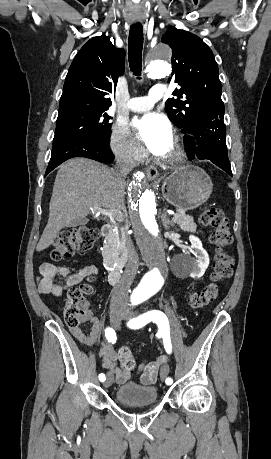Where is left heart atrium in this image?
Segmentation results:
<instances>
[{
	"mask_svg": "<svg viewBox=\"0 0 271 459\" xmlns=\"http://www.w3.org/2000/svg\"><path fill=\"white\" fill-rule=\"evenodd\" d=\"M138 139L152 152L159 153L171 139V126L167 119L156 113H150L133 123Z\"/></svg>",
	"mask_w": 271,
	"mask_h": 459,
	"instance_id": "left-heart-atrium-1",
	"label": "left heart atrium"
}]
</instances>
